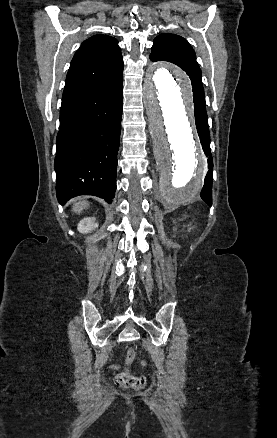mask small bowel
<instances>
[{
	"label": "small bowel",
	"instance_id": "c3829d8e",
	"mask_svg": "<svg viewBox=\"0 0 277 438\" xmlns=\"http://www.w3.org/2000/svg\"><path fill=\"white\" fill-rule=\"evenodd\" d=\"M112 368H113V369H118L119 366H118V365H112Z\"/></svg>",
	"mask_w": 277,
	"mask_h": 438
}]
</instances>
